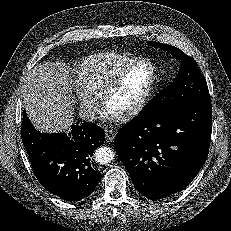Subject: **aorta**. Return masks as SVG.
Segmentation results:
<instances>
[{
	"instance_id": "1",
	"label": "aorta",
	"mask_w": 231,
	"mask_h": 231,
	"mask_svg": "<svg viewBox=\"0 0 231 231\" xmlns=\"http://www.w3.org/2000/svg\"><path fill=\"white\" fill-rule=\"evenodd\" d=\"M94 156L99 164H108L114 159V152L109 147H100L96 149Z\"/></svg>"
}]
</instances>
